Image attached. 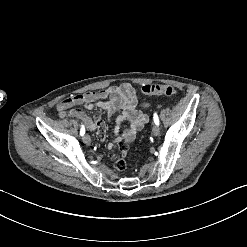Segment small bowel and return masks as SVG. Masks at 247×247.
Instances as JSON below:
<instances>
[{
  "label": "small bowel",
  "instance_id": "obj_1",
  "mask_svg": "<svg viewBox=\"0 0 247 247\" xmlns=\"http://www.w3.org/2000/svg\"><path fill=\"white\" fill-rule=\"evenodd\" d=\"M81 105L89 108L102 107L108 112L109 118L114 121L115 129L108 147L109 149L115 148L116 151H107L105 157L109 161H114L113 165L117 172H124L126 166L120 154L130 150V143L135 139L136 133L148 123L149 118L144 112L148 104H138L136 90L129 83L72 95L57 104L56 109L61 118H77L85 124L87 129L94 130L98 127L99 131L100 129L105 130V127L98 120H92L82 110L75 108ZM123 124H127L125 130L121 129ZM95 140L99 144H104L108 137L104 133H99Z\"/></svg>",
  "mask_w": 247,
  "mask_h": 247
}]
</instances>
